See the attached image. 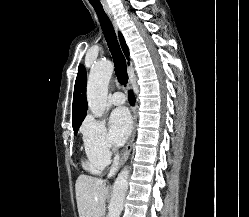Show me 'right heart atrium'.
I'll return each mask as SVG.
<instances>
[{
  "label": "right heart atrium",
  "instance_id": "right-heart-atrium-1",
  "mask_svg": "<svg viewBox=\"0 0 249 217\" xmlns=\"http://www.w3.org/2000/svg\"><path fill=\"white\" fill-rule=\"evenodd\" d=\"M83 144L89 160L104 167L111 161L113 147L107 127L102 120L92 116L82 125Z\"/></svg>",
  "mask_w": 249,
  "mask_h": 217
}]
</instances>
